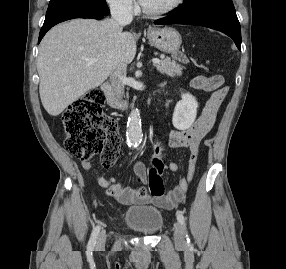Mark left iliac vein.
I'll list each match as a JSON object with an SVG mask.
<instances>
[{
  "label": "left iliac vein",
  "instance_id": "obj_1",
  "mask_svg": "<svg viewBox=\"0 0 286 269\" xmlns=\"http://www.w3.org/2000/svg\"><path fill=\"white\" fill-rule=\"evenodd\" d=\"M174 240L178 246H183L185 244V233L179 222L174 224Z\"/></svg>",
  "mask_w": 286,
  "mask_h": 269
}]
</instances>
